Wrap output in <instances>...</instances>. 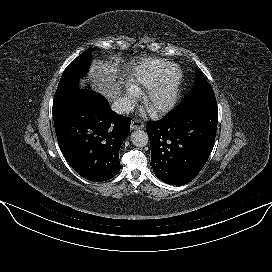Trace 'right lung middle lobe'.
Returning <instances> with one entry per match:
<instances>
[{
	"label": "right lung middle lobe",
	"mask_w": 272,
	"mask_h": 272,
	"mask_svg": "<svg viewBox=\"0 0 272 272\" xmlns=\"http://www.w3.org/2000/svg\"><path fill=\"white\" fill-rule=\"evenodd\" d=\"M95 48L85 50L79 57L74 59L64 70L59 81L54 100L53 112H56L70 96L83 92L78 89L79 77L86 74L90 66V56Z\"/></svg>",
	"instance_id": "1"
}]
</instances>
